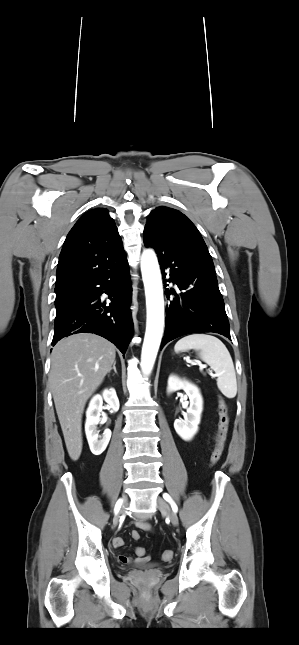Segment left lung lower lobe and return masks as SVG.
<instances>
[{"label":"left lung lower lobe","instance_id":"0a47b994","mask_svg":"<svg viewBox=\"0 0 299 645\" xmlns=\"http://www.w3.org/2000/svg\"><path fill=\"white\" fill-rule=\"evenodd\" d=\"M146 247L155 249L166 282L182 291L166 289L167 298L175 297L166 308V327L161 349L182 335L214 332L230 337L229 321L218 288L214 264L206 244L194 238L174 234L145 237Z\"/></svg>","mask_w":299,"mask_h":645}]
</instances>
